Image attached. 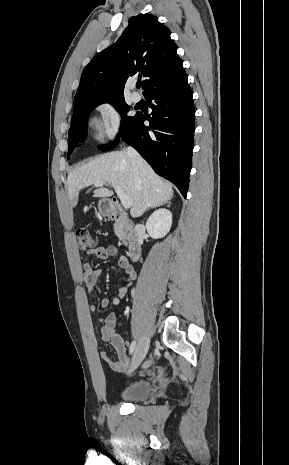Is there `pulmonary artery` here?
<instances>
[{
  "instance_id": "1",
  "label": "pulmonary artery",
  "mask_w": 289,
  "mask_h": 465,
  "mask_svg": "<svg viewBox=\"0 0 289 465\" xmlns=\"http://www.w3.org/2000/svg\"><path fill=\"white\" fill-rule=\"evenodd\" d=\"M131 98L135 103H137V102H139L141 100L140 94L138 92H136V91L132 92Z\"/></svg>"
}]
</instances>
